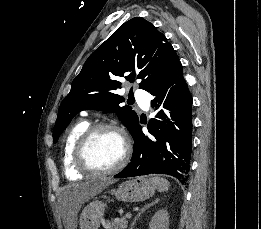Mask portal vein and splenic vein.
Returning <instances> with one entry per match:
<instances>
[{"mask_svg":"<svg viewBox=\"0 0 261 229\" xmlns=\"http://www.w3.org/2000/svg\"><path fill=\"white\" fill-rule=\"evenodd\" d=\"M125 217H127V219H130V217H131L130 213H127V215H125Z\"/></svg>","mask_w":261,"mask_h":229,"instance_id":"18ae733b","label":"portal vein and splenic vein"}]
</instances>
